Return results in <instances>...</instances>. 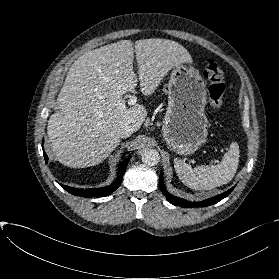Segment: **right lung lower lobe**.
Masks as SVG:
<instances>
[{"label":"right lung lower lobe","instance_id":"obj_1","mask_svg":"<svg viewBox=\"0 0 279 279\" xmlns=\"http://www.w3.org/2000/svg\"><path fill=\"white\" fill-rule=\"evenodd\" d=\"M43 154H44L45 161L47 163L48 157L45 152H43ZM129 160L130 158H127L126 160H124L119 164V172H118L117 179L114 183H112L109 186L101 187V188H92L87 190L71 188L66 185H61V186L72 195L83 196V197H105L107 195H110L120 186L123 174L125 172Z\"/></svg>","mask_w":279,"mask_h":279}]
</instances>
